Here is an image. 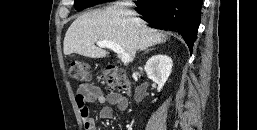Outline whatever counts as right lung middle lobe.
<instances>
[{
  "instance_id": "dd1d6c3e",
  "label": "right lung middle lobe",
  "mask_w": 257,
  "mask_h": 130,
  "mask_svg": "<svg viewBox=\"0 0 257 130\" xmlns=\"http://www.w3.org/2000/svg\"><path fill=\"white\" fill-rule=\"evenodd\" d=\"M96 2H106V1H96ZM92 0H74L75 9L81 10L84 7L89 6Z\"/></svg>"
}]
</instances>
